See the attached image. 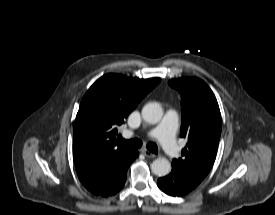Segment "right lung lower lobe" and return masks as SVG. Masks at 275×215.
<instances>
[{"label":"right lung lower lobe","instance_id":"right-lung-lower-lobe-1","mask_svg":"<svg viewBox=\"0 0 275 215\" xmlns=\"http://www.w3.org/2000/svg\"><path fill=\"white\" fill-rule=\"evenodd\" d=\"M137 156L138 152L131 150L120 156L100 160L78 174L79 180L94 195L112 196L124 186L128 167Z\"/></svg>","mask_w":275,"mask_h":215}]
</instances>
